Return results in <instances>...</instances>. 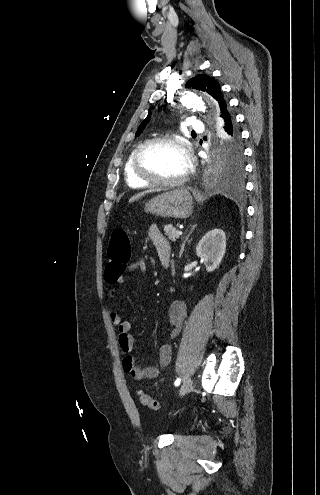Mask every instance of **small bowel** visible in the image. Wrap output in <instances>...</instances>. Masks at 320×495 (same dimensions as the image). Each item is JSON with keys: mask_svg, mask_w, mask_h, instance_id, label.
I'll list each match as a JSON object with an SVG mask.
<instances>
[{"mask_svg": "<svg viewBox=\"0 0 320 495\" xmlns=\"http://www.w3.org/2000/svg\"><path fill=\"white\" fill-rule=\"evenodd\" d=\"M149 237L154 244L158 255L169 247V243L166 238L162 235L157 225L153 224L149 227ZM147 266L143 260L131 264L128 270L135 271L141 270L146 271ZM107 279V278H106ZM107 281L115 286H119L123 283V278L120 276L117 281L108 280ZM171 291L174 292V288L171 287ZM110 299L112 305L109 309V317L111 322L117 326L118 329V343L120 349L125 354L123 358V369L124 371L134 380H145L156 378L161 370L166 367L172 358V348L169 344H163L159 348L158 352V365L157 366H146L139 367L136 364L135 358L131 355L133 350V337L131 335L132 324L129 321L122 320L116 306L115 302L117 295L115 291L110 294ZM187 316L186 305L180 301L175 300L171 303L168 311V329L169 335L175 337L182 329L185 319Z\"/></svg>", "mask_w": 320, "mask_h": 495, "instance_id": "small-bowel-1", "label": "small bowel"}]
</instances>
